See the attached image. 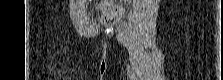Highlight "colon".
<instances>
[{
	"label": "colon",
	"instance_id": "1",
	"mask_svg": "<svg viewBox=\"0 0 223 80\" xmlns=\"http://www.w3.org/2000/svg\"><path fill=\"white\" fill-rule=\"evenodd\" d=\"M116 20V17L112 13H107L102 17V22L105 24H112Z\"/></svg>",
	"mask_w": 223,
	"mask_h": 80
}]
</instances>
